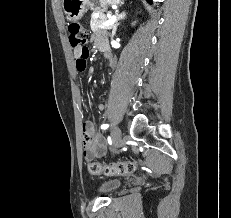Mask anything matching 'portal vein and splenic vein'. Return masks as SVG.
<instances>
[{
    "label": "portal vein and splenic vein",
    "mask_w": 231,
    "mask_h": 218,
    "mask_svg": "<svg viewBox=\"0 0 231 218\" xmlns=\"http://www.w3.org/2000/svg\"><path fill=\"white\" fill-rule=\"evenodd\" d=\"M116 21V17L113 16V17H110L109 20L105 21L102 23L103 26H111L115 23Z\"/></svg>",
    "instance_id": "18ae733b"
}]
</instances>
